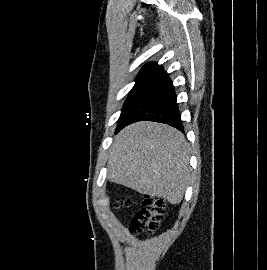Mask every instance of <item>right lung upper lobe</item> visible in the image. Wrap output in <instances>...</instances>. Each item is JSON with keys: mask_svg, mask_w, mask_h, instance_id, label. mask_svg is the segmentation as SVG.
I'll use <instances>...</instances> for the list:
<instances>
[{"mask_svg": "<svg viewBox=\"0 0 267 270\" xmlns=\"http://www.w3.org/2000/svg\"><path fill=\"white\" fill-rule=\"evenodd\" d=\"M163 71L162 66L157 65L156 63H147L144 65V67L141 69V71L138 74V77H146V76H157L160 72Z\"/></svg>", "mask_w": 267, "mask_h": 270, "instance_id": "1", "label": "right lung upper lobe"}]
</instances>
